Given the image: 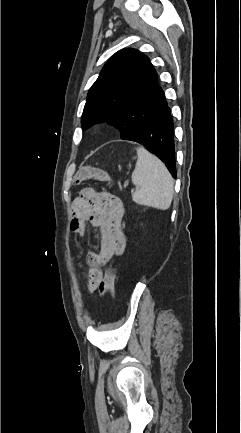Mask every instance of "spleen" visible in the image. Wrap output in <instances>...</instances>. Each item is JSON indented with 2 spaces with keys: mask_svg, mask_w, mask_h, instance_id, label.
Returning a JSON list of instances; mask_svg holds the SVG:
<instances>
[{
  "mask_svg": "<svg viewBox=\"0 0 241 433\" xmlns=\"http://www.w3.org/2000/svg\"><path fill=\"white\" fill-rule=\"evenodd\" d=\"M137 163L132 173V182L137 190L132 193L135 203L167 210L172 203L174 181L160 159L143 147L137 148Z\"/></svg>",
  "mask_w": 241,
  "mask_h": 433,
  "instance_id": "spleen-1",
  "label": "spleen"
}]
</instances>
